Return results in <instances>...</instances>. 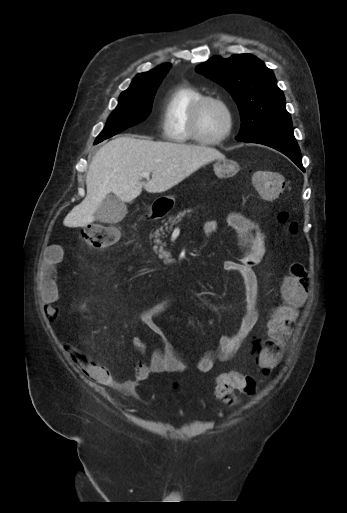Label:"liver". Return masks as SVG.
I'll return each mask as SVG.
<instances>
[{
    "label": "liver",
    "instance_id": "liver-1",
    "mask_svg": "<svg viewBox=\"0 0 347 513\" xmlns=\"http://www.w3.org/2000/svg\"><path fill=\"white\" fill-rule=\"evenodd\" d=\"M225 156L204 145L155 142L123 136L103 145L95 154L86 176L85 199L64 218L67 227H84L96 218L95 212L107 194L122 202H131L144 188L162 193L182 182L201 166ZM143 172L151 180L141 181Z\"/></svg>",
    "mask_w": 347,
    "mask_h": 513
}]
</instances>
